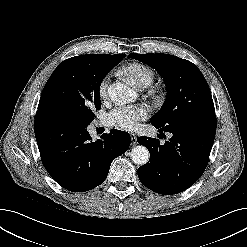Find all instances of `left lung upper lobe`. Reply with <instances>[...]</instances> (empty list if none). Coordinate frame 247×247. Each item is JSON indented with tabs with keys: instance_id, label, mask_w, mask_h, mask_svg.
<instances>
[{
	"instance_id": "obj_1",
	"label": "left lung upper lobe",
	"mask_w": 247,
	"mask_h": 247,
	"mask_svg": "<svg viewBox=\"0 0 247 247\" xmlns=\"http://www.w3.org/2000/svg\"><path fill=\"white\" fill-rule=\"evenodd\" d=\"M153 67L164 78L167 97L151 123L170 130L182 126L216 128L215 108L209 86L192 62L163 53L129 54Z\"/></svg>"
}]
</instances>
